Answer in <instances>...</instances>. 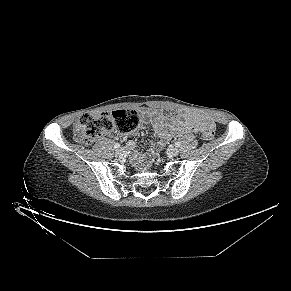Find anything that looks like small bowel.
<instances>
[{"label":"small bowel","mask_w":291,"mask_h":291,"mask_svg":"<svg viewBox=\"0 0 291 291\" xmlns=\"http://www.w3.org/2000/svg\"><path fill=\"white\" fill-rule=\"evenodd\" d=\"M144 120L151 125L160 141L155 144L148 152L147 158L150 160L155 155L158 148L173 136H182L196 131H203L212 122L203 115L194 111L180 112L175 116H166L157 109L146 108L141 111ZM128 147L132 149L134 143L130 142ZM143 159L141 155L135 156Z\"/></svg>","instance_id":"1"}]
</instances>
